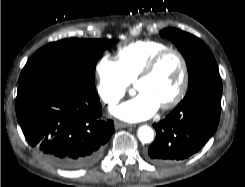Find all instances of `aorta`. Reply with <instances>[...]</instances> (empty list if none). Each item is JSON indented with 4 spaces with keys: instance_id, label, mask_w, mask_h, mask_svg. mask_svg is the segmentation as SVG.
<instances>
[{
    "instance_id": "obj_1",
    "label": "aorta",
    "mask_w": 245,
    "mask_h": 187,
    "mask_svg": "<svg viewBox=\"0 0 245 187\" xmlns=\"http://www.w3.org/2000/svg\"><path fill=\"white\" fill-rule=\"evenodd\" d=\"M138 138L142 143H150L154 138V132L149 126H141L138 129Z\"/></svg>"
}]
</instances>
